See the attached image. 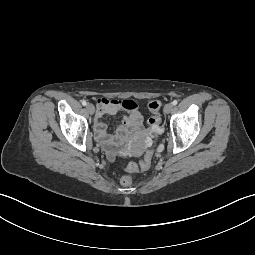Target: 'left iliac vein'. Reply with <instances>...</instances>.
I'll list each match as a JSON object with an SVG mask.
<instances>
[{
	"instance_id": "1",
	"label": "left iliac vein",
	"mask_w": 255,
	"mask_h": 255,
	"mask_svg": "<svg viewBox=\"0 0 255 255\" xmlns=\"http://www.w3.org/2000/svg\"><path fill=\"white\" fill-rule=\"evenodd\" d=\"M172 109H173V104H172V103H168V104H166L165 107H164V112H165L166 114H168V113H170V112L172 111Z\"/></svg>"
}]
</instances>
